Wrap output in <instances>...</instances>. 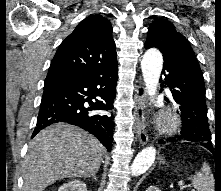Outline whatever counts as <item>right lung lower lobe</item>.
<instances>
[{
  "instance_id": "1",
  "label": "right lung lower lobe",
  "mask_w": 221,
  "mask_h": 191,
  "mask_svg": "<svg viewBox=\"0 0 221 191\" xmlns=\"http://www.w3.org/2000/svg\"><path fill=\"white\" fill-rule=\"evenodd\" d=\"M117 71L116 66L95 75L45 82L32 138L53 123L66 122L94 134L111 151L114 117L91 111H107L113 108ZM96 96L104 101L93 102L92 99Z\"/></svg>"
}]
</instances>
